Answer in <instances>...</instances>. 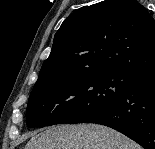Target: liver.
Instances as JSON below:
<instances>
[{
    "instance_id": "1",
    "label": "liver",
    "mask_w": 155,
    "mask_h": 149,
    "mask_svg": "<svg viewBox=\"0 0 155 149\" xmlns=\"http://www.w3.org/2000/svg\"><path fill=\"white\" fill-rule=\"evenodd\" d=\"M24 149H142L140 145L103 125H60L32 138Z\"/></svg>"
}]
</instances>
